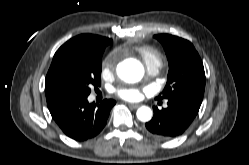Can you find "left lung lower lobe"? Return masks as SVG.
Returning a JSON list of instances; mask_svg holds the SVG:
<instances>
[{"label":"left lung lower lobe","instance_id":"left-lung-lower-lobe-1","mask_svg":"<svg viewBox=\"0 0 249 165\" xmlns=\"http://www.w3.org/2000/svg\"><path fill=\"white\" fill-rule=\"evenodd\" d=\"M200 106V102L187 98L169 99L167 108L158 110L154 107V116L146 123V129L159 139L177 137L190 126Z\"/></svg>","mask_w":249,"mask_h":165}]
</instances>
